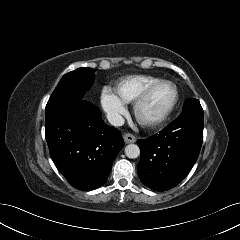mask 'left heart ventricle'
I'll use <instances>...</instances> for the list:
<instances>
[{
	"label": "left heart ventricle",
	"instance_id": "1",
	"mask_svg": "<svg viewBox=\"0 0 240 240\" xmlns=\"http://www.w3.org/2000/svg\"><path fill=\"white\" fill-rule=\"evenodd\" d=\"M175 90L172 86L165 85L158 88L142 105L140 112L146 118H155L163 114L172 104Z\"/></svg>",
	"mask_w": 240,
	"mask_h": 240
}]
</instances>
